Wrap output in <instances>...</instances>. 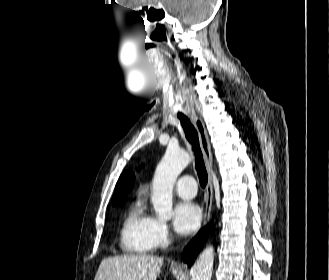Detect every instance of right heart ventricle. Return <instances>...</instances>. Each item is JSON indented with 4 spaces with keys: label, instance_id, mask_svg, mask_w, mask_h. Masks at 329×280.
Instances as JSON below:
<instances>
[{
    "label": "right heart ventricle",
    "instance_id": "right-heart-ventricle-1",
    "mask_svg": "<svg viewBox=\"0 0 329 280\" xmlns=\"http://www.w3.org/2000/svg\"><path fill=\"white\" fill-rule=\"evenodd\" d=\"M154 218L137 199L130 207L121 230V247L127 253L147 254L154 250L152 230Z\"/></svg>",
    "mask_w": 329,
    "mask_h": 280
}]
</instances>
